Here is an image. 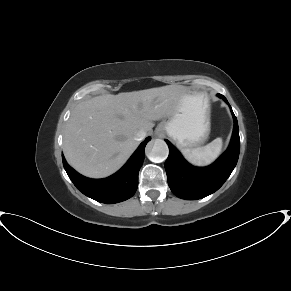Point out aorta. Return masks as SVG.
<instances>
[{"label":"aorta","mask_w":291,"mask_h":291,"mask_svg":"<svg viewBox=\"0 0 291 291\" xmlns=\"http://www.w3.org/2000/svg\"><path fill=\"white\" fill-rule=\"evenodd\" d=\"M146 150L148 158L155 163L163 162L169 154L168 146L162 139L150 141L146 147Z\"/></svg>","instance_id":"obj_1"}]
</instances>
